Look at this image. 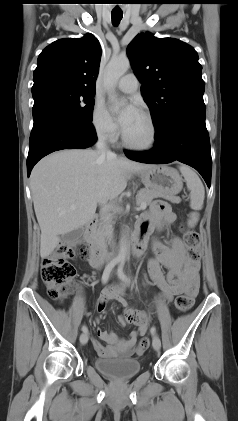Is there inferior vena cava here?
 <instances>
[{
    "label": "inferior vena cava",
    "mask_w": 238,
    "mask_h": 421,
    "mask_svg": "<svg viewBox=\"0 0 238 421\" xmlns=\"http://www.w3.org/2000/svg\"><path fill=\"white\" fill-rule=\"evenodd\" d=\"M96 149L103 156H106V155L113 156L114 155L106 146V136H105V133L103 131H99V133H98V140H97V143H96ZM102 214H103V220L105 222V226H104L105 234L109 238V240H111L112 236H113V229H112V226L110 225V220H109V217L107 215L105 203H103Z\"/></svg>",
    "instance_id": "inferior-vena-cava-1"
}]
</instances>
